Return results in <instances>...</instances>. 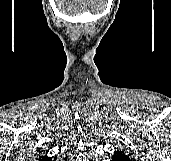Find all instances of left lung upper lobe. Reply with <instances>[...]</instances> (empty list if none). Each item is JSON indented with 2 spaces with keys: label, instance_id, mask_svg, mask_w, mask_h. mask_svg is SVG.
I'll return each mask as SVG.
<instances>
[{
  "label": "left lung upper lobe",
  "instance_id": "left-lung-upper-lobe-1",
  "mask_svg": "<svg viewBox=\"0 0 171 161\" xmlns=\"http://www.w3.org/2000/svg\"><path fill=\"white\" fill-rule=\"evenodd\" d=\"M113 157H120L125 159L126 161H130L129 155H126L123 150L118 149L114 154Z\"/></svg>",
  "mask_w": 171,
  "mask_h": 161
}]
</instances>
